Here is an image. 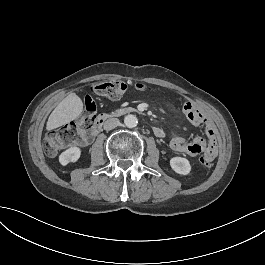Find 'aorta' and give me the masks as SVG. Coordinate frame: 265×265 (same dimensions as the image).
<instances>
[{
    "mask_svg": "<svg viewBox=\"0 0 265 265\" xmlns=\"http://www.w3.org/2000/svg\"><path fill=\"white\" fill-rule=\"evenodd\" d=\"M124 123L128 128H135L138 124V119L135 115H127L124 118Z\"/></svg>",
    "mask_w": 265,
    "mask_h": 265,
    "instance_id": "aorta-1",
    "label": "aorta"
}]
</instances>
